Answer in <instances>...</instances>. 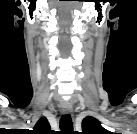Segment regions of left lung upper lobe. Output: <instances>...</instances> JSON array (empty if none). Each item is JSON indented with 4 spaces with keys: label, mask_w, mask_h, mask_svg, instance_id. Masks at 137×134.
Here are the masks:
<instances>
[{
    "label": "left lung upper lobe",
    "mask_w": 137,
    "mask_h": 134,
    "mask_svg": "<svg viewBox=\"0 0 137 134\" xmlns=\"http://www.w3.org/2000/svg\"><path fill=\"white\" fill-rule=\"evenodd\" d=\"M82 134H109L105 128L101 126V123L94 117H85L82 122Z\"/></svg>",
    "instance_id": "left-lung-upper-lobe-1"
}]
</instances>
